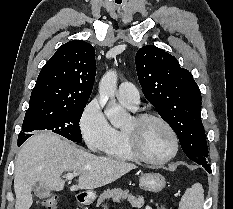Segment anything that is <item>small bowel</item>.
Returning <instances> with one entry per match:
<instances>
[{
	"label": "small bowel",
	"mask_w": 233,
	"mask_h": 209,
	"mask_svg": "<svg viewBox=\"0 0 233 209\" xmlns=\"http://www.w3.org/2000/svg\"><path fill=\"white\" fill-rule=\"evenodd\" d=\"M142 209H153L151 206H145Z\"/></svg>",
	"instance_id": "obj_1"
}]
</instances>
